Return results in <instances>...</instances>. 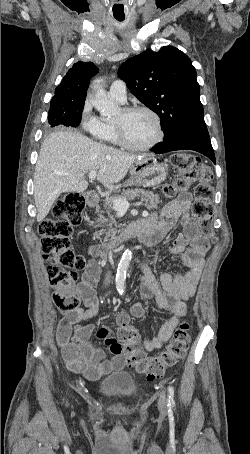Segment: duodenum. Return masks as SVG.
Returning a JSON list of instances; mask_svg holds the SVG:
<instances>
[{"label": "duodenum", "mask_w": 250, "mask_h": 454, "mask_svg": "<svg viewBox=\"0 0 250 454\" xmlns=\"http://www.w3.org/2000/svg\"><path fill=\"white\" fill-rule=\"evenodd\" d=\"M96 197L92 194H87L85 197V203L88 207H94L96 204ZM137 223L126 228L117 238L112 240L109 244H100L93 248L94 256L106 260L110 253L119 247L122 243L128 241L131 237L140 235V230L136 226Z\"/></svg>", "instance_id": "1"}]
</instances>
